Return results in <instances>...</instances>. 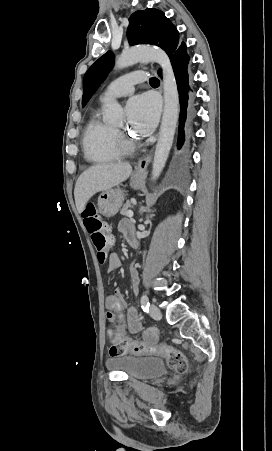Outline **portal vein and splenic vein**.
<instances>
[{"mask_svg":"<svg viewBox=\"0 0 272 451\" xmlns=\"http://www.w3.org/2000/svg\"><path fill=\"white\" fill-rule=\"evenodd\" d=\"M127 216H128V218H133V212H132V210H128Z\"/></svg>","mask_w":272,"mask_h":451,"instance_id":"obj_1","label":"portal vein and splenic vein"}]
</instances>
